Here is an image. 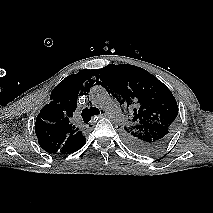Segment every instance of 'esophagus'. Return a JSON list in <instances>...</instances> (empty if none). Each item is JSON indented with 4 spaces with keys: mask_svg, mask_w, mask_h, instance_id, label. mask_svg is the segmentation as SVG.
I'll use <instances>...</instances> for the list:
<instances>
[{
    "mask_svg": "<svg viewBox=\"0 0 213 213\" xmlns=\"http://www.w3.org/2000/svg\"><path fill=\"white\" fill-rule=\"evenodd\" d=\"M104 116H105V113H101V114H99L98 116H96V117L94 118V120L91 121V122L88 124V128H92L91 126L94 125V124L96 123V120H98V119H100V118H102V117H104Z\"/></svg>",
    "mask_w": 213,
    "mask_h": 213,
    "instance_id": "esophagus-1",
    "label": "esophagus"
}]
</instances>
